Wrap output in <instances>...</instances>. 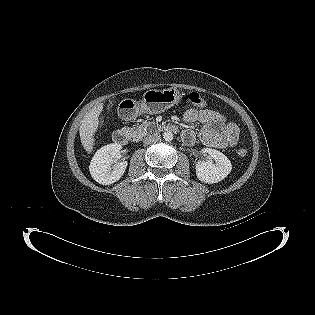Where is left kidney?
Wrapping results in <instances>:
<instances>
[{"label":"left kidney","instance_id":"5707ae66","mask_svg":"<svg viewBox=\"0 0 315 315\" xmlns=\"http://www.w3.org/2000/svg\"><path fill=\"white\" fill-rule=\"evenodd\" d=\"M201 153L208 155L207 161H198L195 169L197 178L208 184L218 183L225 179L232 170L230 160L220 151L204 148Z\"/></svg>","mask_w":315,"mask_h":315}]
</instances>
